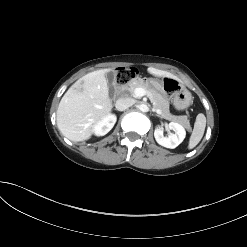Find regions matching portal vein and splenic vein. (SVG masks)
Returning <instances> with one entry per match:
<instances>
[{
	"label": "portal vein and splenic vein",
	"instance_id": "obj_1",
	"mask_svg": "<svg viewBox=\"0 0 247 247\" xmlns=\"http://www.w3.org/2000/svg\"><path fill=\"white\" fill-rule=\"evenodd\" d=\"M148 92L144 88H136L134 90L135 97H143L144 95H147ZM157 113H160V110H156Z\"/></svg>",
	"mask_w": 247,
	"mask_h": 247
}]
</instances>
